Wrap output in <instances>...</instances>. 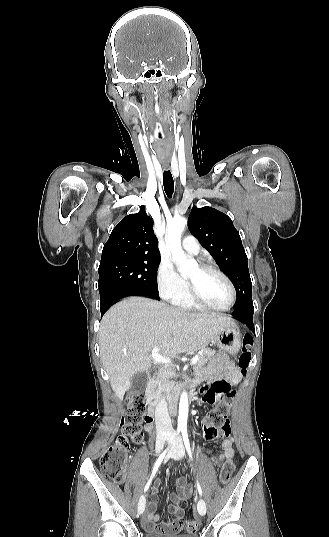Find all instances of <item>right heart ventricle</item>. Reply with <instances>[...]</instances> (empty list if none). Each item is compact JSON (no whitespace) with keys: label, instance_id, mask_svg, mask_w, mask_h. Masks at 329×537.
I'll use <instances>...</instances> for the list:
<instances>
[{"label":"right heart ventricle","instance_id":"1","mask_svg":"<svg viewBox=\"0 0 329 537\" xmlns=\"http://www.w3.org/2000/svg\"><path fill=\"white\" fill-rule=\"evenodd\" d=\"M176 306L187 309V310H193V309H201L198 305H196L190 298L189 293L187 292L181 299L177 300L176 302H173Z\"/></svg>","mask_w":329,"mask_h":537}]
</instances>
